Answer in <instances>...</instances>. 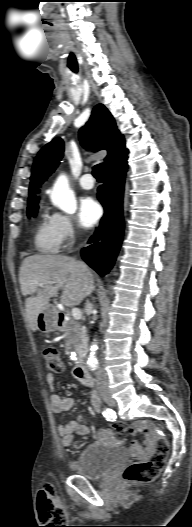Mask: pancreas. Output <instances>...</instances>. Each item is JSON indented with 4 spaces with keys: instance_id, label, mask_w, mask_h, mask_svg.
<instances>
[{
    "instance_id": "pancreas-1",
    "label": "pancreas",
    "mask_w": 192,
    "mask_h": 527,
    "mask_svg": "<svg viewBox=\"0 0 192 527\" xmlns=\"http://www.w3.org/2000/svg\"><path fill=\"white\" fill-rule=\"evenodd\" d=\"M64 332L66 333L67 343L73 345L77 351H80L84 347L87 337L80 323L76 321L66 323Z\"/></svg>"
}]
</instances>
